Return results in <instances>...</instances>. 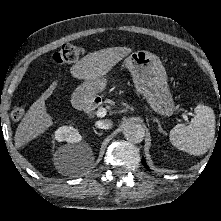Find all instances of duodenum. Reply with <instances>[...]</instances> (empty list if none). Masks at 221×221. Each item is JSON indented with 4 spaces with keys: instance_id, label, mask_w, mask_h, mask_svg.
<instances>
[{
    "instance_id": "1",
    "label": "duodenum",
    "mask_w": 221,
    "mask_h": 221,
    "mask_svg": "<svg viewBox=\"0 0 221 221\" xmlns=\"http://www.w3.org/2000/svg\"><path fill=\"white\" fill-rule=\"evenodd\" d=\"M99 99L91 98L86 99L84 97L76 98V105L83 109L85 112H92L98 106Z\"/></svg>"
}]
</instances>
